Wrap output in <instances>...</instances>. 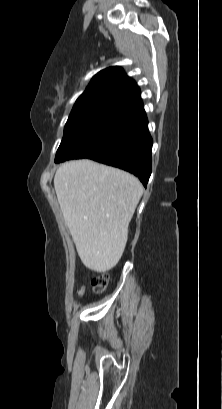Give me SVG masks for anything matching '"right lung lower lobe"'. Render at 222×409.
I'll list each match as a JSON object with an SVG mask.
<instances>
[{
  "label": "right lung lower lobe",
  "mask_w": 222,
  "mask_h": 409,
  "mask_svg": "<svg viewBox=\"0 0 222 409\" xmlns=\"http://www.w3.org/2000/svg\"><path fill=\"white\" fill-rule=\"evenodd\" d=\"M153 140L143 105L124 111L102 144L85 158L126 170L146 187L152 171Z\"/></svg>",
  "instance_id": "right-lung-lower-lobe-1"
}]
</instances>
